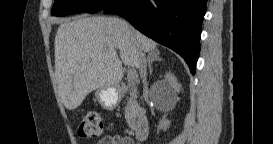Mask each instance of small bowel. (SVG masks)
<instances>
[{
  "instance_id": "small-bowel-1",
  "label": "small bowel",
  "mask_w": 273,
  "mask_h": 144,
  "mask_svg": "<svg viewBox=\"0 0 273 144\" xmlns=\"http://www.w3.org/2000/svg\"><path fill=\"white\" fill-rule=\"evenodd\" d=\"M99 143L104 144H131L132 141L129 137L115 135V136H109L105 138L104 140L100 141Z\"/></svg>"
}]
</instances>
